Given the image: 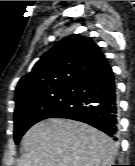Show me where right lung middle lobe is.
Here are the masks:
<instances>
[{
    "label": "right lung middle lobe",
    "mask_w": 135,
    "mask_h": 166,
    "mask_svg": "<svg viewBox=\"0 0 135 166\" xmlns=\"http://www.w3.org/2000/svg\"><path fill=\"white\" fill-rule=\"evenodd\" d=\"M74 96V86L62 89L15 108L14 140L18 144L23 134L35 123L50 118L57 111L69 106Z\"/></svg>",
    "instance_id": "obj_1"
}]
</instances>
